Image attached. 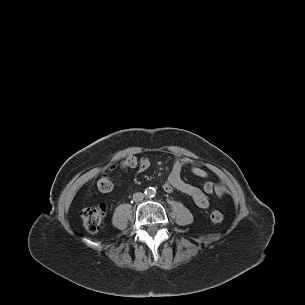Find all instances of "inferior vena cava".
<instances>
[{"mask_svg": "<svg viewBox=\"0 0 305 305\" xmlns=\"http://www.w3.org/2000/svg\"><path fill=\"white\" fill-rule=\"evenodd\" d=\"M144 197H145V195L143 193L137 192L133 195V200L138 202V201L143 200Z\"/></svg>", "mask_w": 305, "mask_h": 305, "instance_id": "obj_1", "label": "inferior vena cava"}]
</instances>
